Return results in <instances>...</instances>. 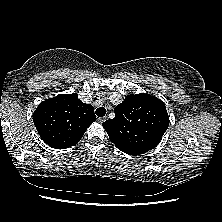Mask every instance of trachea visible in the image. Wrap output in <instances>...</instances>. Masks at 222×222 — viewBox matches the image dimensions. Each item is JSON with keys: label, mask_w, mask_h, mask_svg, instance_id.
<instances>
[{"label": "trachea", "mask_w": 222, "mask_h": 222, "mask_svg": "<svg viewBox=\"0 0 222 222\" xmlns=\"http://www.w3.org/2000/svg\"><path fill=\"white\" fill-rule=\"evenodd\" d=\"M106 114V109L104 107H99L96 109V115L98 117H103Z\"/></svg>", "instance_id": "trachea-1"}]
</instances>
